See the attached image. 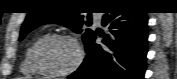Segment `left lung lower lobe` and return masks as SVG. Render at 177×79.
I'll list each match as a JSON object with an SVG mask.
<instances>
[{"mask_svg": "<svg viewBox=\"0 0 177 79\" xmlns=\"http://www.w3.org/2000/svg\"><path fill=\"white\" fill-rule=\"evenodd\" d=\"M103 44H95V34L86 48V58L70 79H144L147 54L145 12L103 10Z\"/></svg>", "mask_w": 177, "mask_h": 79, "instance_id": "0a47b994", "label": "left lung lower lobe"}]
</instances>
